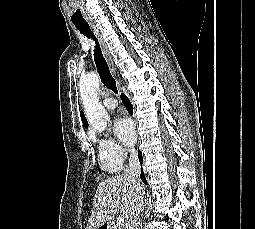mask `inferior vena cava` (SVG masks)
I'll return each mask as SVG.
<instances>
[{
  "instance_id": "1",
  "label": "inferior vena cava",
  "mask_w": 255,
  "mask_h": 229,
  "mask_svg": "<svg viewBox=\"0 0 255 229\" xmlns=\"http://www.w3.org/2000/svg\"><path fill=\"white\" fill-rule=\"evenodd\" d=\"M128 151L130 153L129 164L123 172V177L133 184L134 195L130 204L125 229H137V219L143 209L144 191L139 180L141 165L138 158V152L135 148H130Z\"/></svg>"
}]
</instances>
